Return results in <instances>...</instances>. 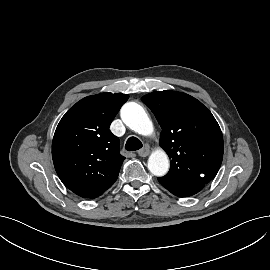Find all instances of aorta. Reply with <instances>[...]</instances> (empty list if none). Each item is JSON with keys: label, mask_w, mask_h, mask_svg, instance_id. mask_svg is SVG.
I'll return each mask as SVG.
<instances>
[{"label": "aorta", "mask_w": 270, "mask_h": 270, "mask_svg": "<svg viewBox=\"0 0 270 270\" xmlns=\"http://www.w3.org/2000/svg\"><path fill=\"white\" fill-rule=\"evenodd\" d=\"M123 122L141 135H150L153 124L143 107L135 102L126 103L121 109ZM148 169L155 176H164L169 170V159L163 150L154 151L148 159Z\"/></svg>", "instance_id": "aorta-1"}]
</instances>
